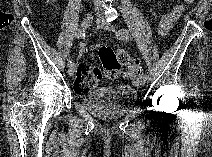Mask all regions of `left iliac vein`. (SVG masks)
Returning <instances> with one entry per match:
<instances>
[{
    "mask_svg": "<svg viewBox=\"0 0 212 157\" xmlns=\"http://www.w3.org/2000/svg\"><path fill=\"white\" fill-rule=\"evenodd\" d=\"M97 25H98V27H100L104 30L111 31V32L115 31L114 26L111 23L106 22L104 19L98 18ZM138 82L141 85H144L146 83L145 79L143 78V75H140Z\"/></svg>",
    "mask_w": 212,
    "mask_h": 157,
    "instance_id": "1",
    "label": "left iliac vein"
}]
</instances>
